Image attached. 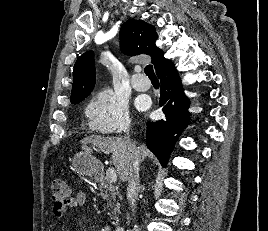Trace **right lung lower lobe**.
I'll return each instance as SVG.
<instances>
[{
	"mask_svg": "<svg viewBox=\"0 0 268 231\" xmlns=\"http://www.w3.org/2000/svg\"><path fill=\"white\" fill-rule=\"evenodd\" d=\"M157 76L161 80L160 106L166 118L147 123L146 144L165 167L176 141L187 125L189 102L173 63L158 71Z\"/></svg>",
	"mask_w": 268,
	"mask_h": 231,
	"instance_id": "98d812e1",
	"label": "right lung lower lobe"
}]
</instances>
